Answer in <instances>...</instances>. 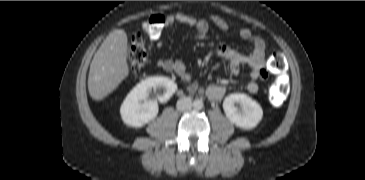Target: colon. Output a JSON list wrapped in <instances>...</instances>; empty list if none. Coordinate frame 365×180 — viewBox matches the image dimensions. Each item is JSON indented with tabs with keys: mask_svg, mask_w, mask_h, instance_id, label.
Here are the masks:
<instances>
[{
	"mask_svg": "<svg viewBox=\"0 0 365 180\" xmlns=\"http://www.w3.org/2000/svg\"><path fill=\"white\" fill-rule=\"evenodd\" d=\"M165 28V17L154 15L143 24L144 32L152 39L161 36ZM148 61L147 47L140 35H135L129 46L128 65L133 73L141 71ZM268 67L275 76V81L269 91L270 101L274 106L283 104L288 92V85L284 80L286 61L281 52H274L269 58Z\"/></svg>",
	"mask_w": 365,
	"mask_h": 180,
	"instance_id": "1",
	"label": "colon"
}]
</instances>
